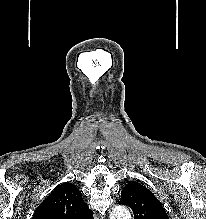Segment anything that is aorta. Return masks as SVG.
I'll return each instance as SVG.
<instances>
[{"mask_svg":"<svg viewBox=\"0 0 206 219\" xmlns=\"http://www.w3.org/2000/svg\"><path fill=\"white\" fill-rule=\"evenodd\" d=\"M110 219H131V214L125 206H115L110 214Z\"/></svg>","mask_w":206,"mask_h":219,"instance_id":"1","label":"aorta"}]
</instances>
